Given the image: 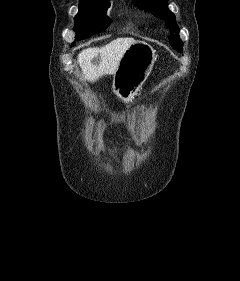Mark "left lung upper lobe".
<instances>
[{"mask_svg":"<svg viewBox=\"0 0 240 281\" xmlns=\"http://www.w3.org/2000/svg\"><path fill=\"white\" fill-rule=\"evenodd\" d=\"M134 4L145 11L151 12L158 18L166 20V26L170 29L169 42L178 52L183 51V42L180 40L179 27L176 24L174 14L168 9V0H133ZM175 33V34H174Z\"/></svg>","mask_w":240,"mask_h":281,"instance_id":"obj_1","label":"left lung upper lobe"}]
</instances>
